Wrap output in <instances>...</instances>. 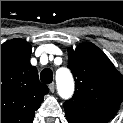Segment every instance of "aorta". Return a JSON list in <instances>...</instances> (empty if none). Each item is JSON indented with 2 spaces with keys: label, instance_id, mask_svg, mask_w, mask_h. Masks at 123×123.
<instances>
[{
  "label": "aorta",
  "instance_id": "762f6f07",
  "mask_svg": "<svg viewBox=\"0 0 123 123\" xmlns=\"http://www.w3.org/2000/svg\"><path fill=\"white\" fill-rule=\"evenodd\" d=\"M56 79L59 95L64 99L70 98L74 91V81L70 71L65 68L60 69Z\"/></svg>",
  "mask_w": 123,
  "mask_h": 123
}]
</instances>
